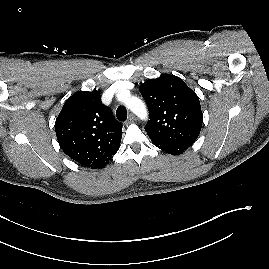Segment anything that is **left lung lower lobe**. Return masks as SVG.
Masks as SVG:
<instances>
[{"mask_svg": "<svg viewBox=\"0 0 269 269\" xmlns=\"http://www.w3.org/2000/svg\"><path fill=\"white\" fill-rule=\"evenodd\" d=\"M153 144L158 148H160L161 150L172 155L182 154L188 147L192 145V144H171V143H157V142H153Z\"/></svg>", "mask_w": 269, "mask_h": 269, "instance_id": "1", "label": "left lung lower lobe"}]
</instances>
